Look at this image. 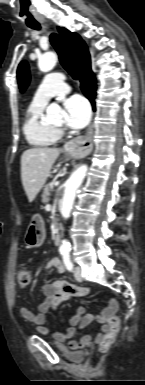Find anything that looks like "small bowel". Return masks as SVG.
<instances>
[{"label": "small bowel", "mask_w": 145, "mask_h": 385, "mask_svg": "<svg viewBox=\"0 0 145 385\" xmlns=\"http://www.w3.org/2000/svg\"><path fill=\"white\" fill-rule=\"evenodd\" d=\"M56 269L60 273L65 272V268L63 263L56 257L49 259L44 265V270ZM61 284L73 285L67 282L56 281L53 283H47L43 285L42 292L45 297L44 301L39 305L38 312L34 313L27 307H20L19 313L21 317L29 322L34 323L38 331L46 335L48 334V329L45 326L47 314L49 311L56 309L62 302L70 300L74 296H85L88 293V288L83 286H76L79 289L78 294H68L64 293L60 290L59 286ZM14 295V292H12ZM116 302L112 301L111 305H115ZM108 309L103 310L97 315L86 313L84 307L80 306L77 309V312L74 316L69 319V327L65 332H55L53 337L58 342L69 341V347L71 350H79L84 347L89 346L91 343L99 342L102 336L108 331ZM94 320L100 323V328L97 333L94 335H86L80 341L71 340L73 336L76 334L78 329H84L89 324H91Z\"/></svg>", "instance_id": "c3829d8e"}]
</instances>
